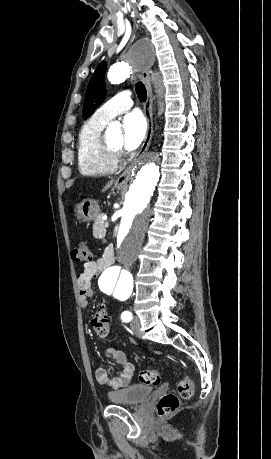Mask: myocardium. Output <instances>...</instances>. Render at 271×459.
<instances>
[{
  "label": "myocardium",
  "mask_w": 271,
  "mask_h": 459,
  "mask_svg": "<svg viewBox=\"0 0 271 459\" xmlns=\"http://www.w3.org/2000/svg\"><path fill=\"white\" fill-rule=\"evenodd\" d=\"M102 147L104 152L113 159H118L123 153V147H114L111 145L105 136L101 137Z\"/></svg>",
  "instance_id": "myocardium-1"
}]
</instances>
